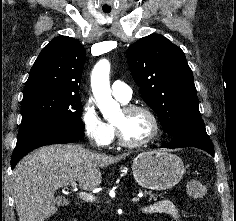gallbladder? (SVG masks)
<instances>
[{
  "label": "gallbladder",
  "instance_id": "obj_1",
  "mask_svg": "<svg viewBox=\"0 0 236 221\" xmlns=\"http://www.w3.org/2000/svg\"><path fill=\"white\" fill-rule=\"evenodd\" d=\"M64 203L63 197L57 196L55 198V204H57L58 206L62 205Z\"/></svg>",
  "mask_w": 236,
  "mask_h": 221
}]
</instances>
